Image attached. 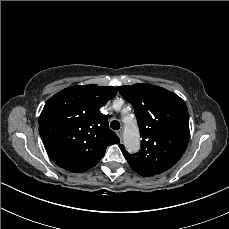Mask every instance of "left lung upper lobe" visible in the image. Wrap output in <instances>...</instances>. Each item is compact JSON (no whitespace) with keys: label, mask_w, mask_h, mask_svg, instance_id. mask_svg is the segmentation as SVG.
<instances>
[{"label":"left lung upper lobe","mask_w":229,"mask_h":229,"mask_svg":"<svg viewBox=\"0 0 229 229\" xmlns=\"http://www.w3.org/2000/svg\"><path fill=\"white\" fill-rule=\"evenodd\" d=\"M132 104L140 129L141 150L129 154L120 145L130 167L139 175L161 174L182 157L189 139V113L185 102L162 87L134 84L118 87Z\"/></svg>","instance_id":"1"}]
</instances>
